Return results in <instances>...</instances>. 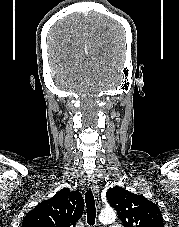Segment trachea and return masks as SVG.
I'll list each match as a JSON object with an SVG mask.
<instances>
[{
    "instance_id": "obj_1",
    "label": "trachea",
    "mask_w": 179,
    "mask_h": 227,
    "mask_svg": "<svg viewBox=\"0 0 179 227\" xmlns=\"http://www.w3.org/2000/svg\"><path fill=\"white\" fill-rule=\"evenodd\" d=\"M85 202H86V208H87V223L90 226H93L95 224V218H96V208H95V200L92 193V190H87L85 194Z\"/></svg>"
}]
</instances>
